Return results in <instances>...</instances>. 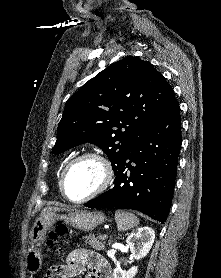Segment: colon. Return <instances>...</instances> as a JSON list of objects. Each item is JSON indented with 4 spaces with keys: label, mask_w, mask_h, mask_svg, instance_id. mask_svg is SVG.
Segmentation results:
<instances>
[{
    "label": "colon",
    "mask_w": 221,
    "mask_h": 278,
    "mask_svg": "<svg viewBox=\"0 0 221 278\" xmlns=\"http://www.w3.org/2000/svg\"><path fill=\"white\" fill-rule=\"evenodd\" d=\"M65 233L66 227L64 226V224L61 221L57 222L55 229L47 233V237L44 243L45 246L50 250H57L58 238L63 236ZM47 275L51 278H59L62 275V270L59 266H54L51 268Z\"/></svg>",
    "instance_id": "obj_1"
}]
</instances>
